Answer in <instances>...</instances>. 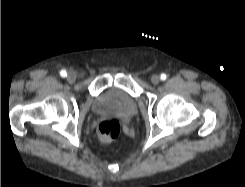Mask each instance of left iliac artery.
Returning a JSON list of instances; mask_svg holds the SVG:
<instances>
[{"mask_svg":"<svg viewBox=\"0 0 245 187\" xmlns=\"http://www.w3.org/2000/svg\"><path fill=\"white\" fill-rule=\"evenodd\" d=\"M160 78H161V80H166L167 75L163 73V74H161Z\"/></svg>","mask_w":245,"mask_h":187,"instance_id":"1","label":"left iliac artery"}]
</instances>
